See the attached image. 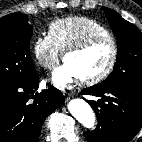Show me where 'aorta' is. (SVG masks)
<instances>
[{
  "label": "aorta",
  "instance_id": "762f6f07",
  "mask_svg": "<svg viewBox=\"0 0 142 142\" xmlns=\"http://www.w3.org/2000/svg\"><path fill=\"white\" fill-rule=\"evenodd\" d=\"M68 110L86 128L91 129L94 127L95 115L90 105L83 99H72L68 103Z\"/></svg>",
  "mask_w": 142,
  "mask_h": 142
}]
</instances>
